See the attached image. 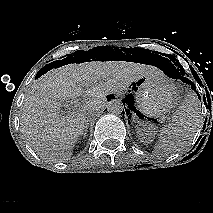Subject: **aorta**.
Here are the masks:
<instances>
[{"label":"aorta","instance_id":"762f6f07","mask_svg":"<svg viewBox=\"0 0 213 213\" xmlns=\"http://www.w3.org/2000/svg\"><path fill=\"white\" fill-rule=\"evenodd\" d=\"M124 109V105L121 100L113 99L108 102L107 110L111 114L120 115Z\"/></svg>","mask_w":213,"mask_h":213}]
</instances>
